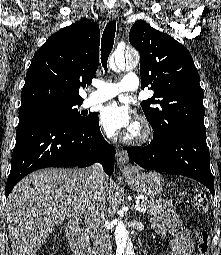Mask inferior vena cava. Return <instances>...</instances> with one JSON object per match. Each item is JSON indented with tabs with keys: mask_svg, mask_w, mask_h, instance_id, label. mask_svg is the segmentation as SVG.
<instances>
[{
	"mask_svg": "<svg viewBox=\"0 0 221 255\" xmlns=\"http://www.w3.org/2000/svg\"><path fill=\"white\" fill-rule=\"evenodd\" d=\"M90 179L94 184H101L105 178L100 164L89 167ZM102 189H99L89 199L85 212V224L95 246L97 255H112L107 220L105 217V198L101 197Z\"/></svg>",
	"mask_w": 221,
	"mask_h": 255,
	"instance_id": "inferior-vena-cava-1",
	"label": "inferior vena cava"
}]
</instances>
